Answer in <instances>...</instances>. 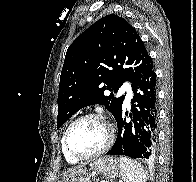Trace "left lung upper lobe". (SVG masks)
I'll return each instance as SVG.
<instances>
[{
    "label": "left lung upper lobe",
    "mask_w": 196,
    "mask_h": 182,
    "mask_svg": "<svg viewBox=\"0 0 196 182\" xmlns=\"http://www.w3.org/2000/svg\"><path fill=\"white\" fill-rule=\"evenodd\" d=\"M151 60L136 30L122 17L107 15L85 30L69 46L61 71L57 128L83 107L104 105L117 116L124 95L116 97L124 81L132 84ZM105 90L112 91L104 95Z\"/></svg>",
    "instance_id": "1"
}]
</instances>
